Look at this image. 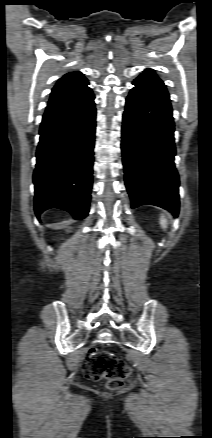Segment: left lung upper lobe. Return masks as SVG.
Instances as JSON below:
<instances>
[{"label": "left lung upper lobe", "instance_id": "left-lung-upper-lobe-1", "mask_svg": "<svg viewBox=\"0 0 212 438\" xmlns=\"http://www.w3.org/2000/svg\"><path fill=\"white\" fill-rule=\"evenodd\" d=\"M139 77H145V78H153L160 80L154 73L152 69H146L143 74H141ZM161 81V80H160Z\"/></svg>", "mask_w": 212, "mask_h": 438}]
</instances>
